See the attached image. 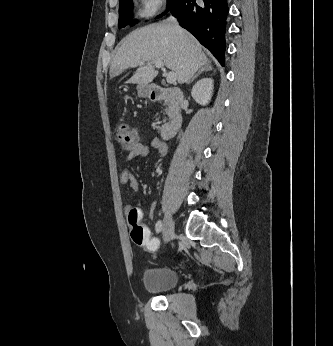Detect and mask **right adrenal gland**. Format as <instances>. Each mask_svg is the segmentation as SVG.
Returning a JSON list of instances; mask_svg holds the SVG:
<instances>
[{
  "instance_id": "obj_1",
  "label": "right adrenal gland",
  "mask_w": 333,
  "mask_h": 346,
  "mask_svg": "<svg viewBox=\"0 0 333 346\" xmlns=\"http://www.w3.org/2000/svg\"><path fill=\"white\" fill-rule=\"evenodd\" d=\"M213 68L212 66L210 65V63H205L201 69L198 70V72L193 75L191 77V79L187 82V84H189L190 82H192L195 78H197L201 73H203L204 71H211Z\"/></svg>"
}]
</instances>
